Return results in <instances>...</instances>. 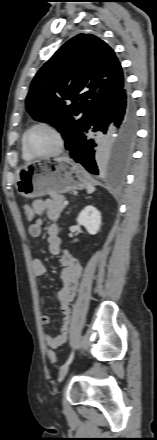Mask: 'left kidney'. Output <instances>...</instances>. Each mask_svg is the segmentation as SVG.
<instances>
[{
    "label": "left kidney",
    "instance_id": "obj_1",
    "mask_svg": "<svg viewBox=\"0 0 157 440\" xmlns=\"http://www.w3.org/2000/svg\"><path fill=\"white\" fill-rule=\"evenodd\" d=\"M77 222L84 226L90 235H96L101 226V214L93 206H86L77 217Z\"/></svg>",
    "mask_w": 157,
    "mask_h": 440
}]
</instances>
